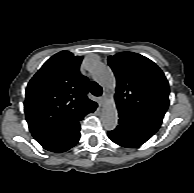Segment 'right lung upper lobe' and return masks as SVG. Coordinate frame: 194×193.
Listing matches in <instances>:
<instances>
[{"label": "right lung upper lobe", "mask_w": 194, "mask_h": 193, "mask_svg": "<svg viewBox=\"0 0 194 193\" xmlns=\"http://www.w3.org/2000/svg\"><path fill=\"white\" fill-rule=\"evenodd\" d=\"M81 56L61 51L48 59L28 83L24 110L31 133L52 129L88 112V78L79 72Z\"/></svg>", "instance_id": "right-lung-upper-lobe-1"}]
</instances>
